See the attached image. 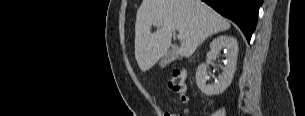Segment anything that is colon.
Wrapping results in <instances>:
<instances>
[{"instance_id":"1","label":"colon","mask_w":305,"mask_h":116,"mask_svg":"<svg viewBox=\"0 0 305 116\" xmlns=\"http://www.w3.org/2000/svg\"><path fill=\"white\" fill-rule=\"evenodd\" d=\"M187 73L184 69H177L173 77L169 83V87L171 90H173L175 93L178 94V98L182 103H187L188 102V97L186 94V85H185V80H186ZM183 114L177 115L171 112H165L163 116H182Z\"/></svg>"}]
</instances>
